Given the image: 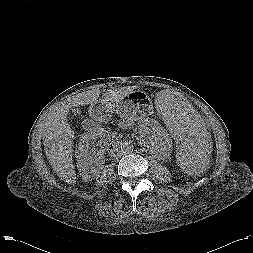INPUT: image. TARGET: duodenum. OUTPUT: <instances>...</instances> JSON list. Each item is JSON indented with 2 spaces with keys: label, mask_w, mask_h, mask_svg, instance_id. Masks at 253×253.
I'll return each instance as SVG.
<instances>
[{
  "label": "duodenum",
  "mask_w": 253,
  "mask_h": 253,
  "mask_svg": "<svg viewBox=\"0 0 253 253\" xmlns=\"http://www.w3.org/2000/svg\"><path fill=\"white\" fill-rule=\"evenodd\" d=\"M106 112V106L98 103V104H95L93 107H92V113L93 115H98L99 117H101L104 113ZM94 128V126H88L86 127L87 130H92Z\"/></svg>",
  "instance_id": "obj_1"
}]
</instances>
